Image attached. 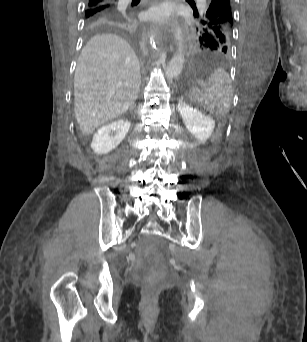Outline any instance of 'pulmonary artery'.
I'll return each instance as SVG.
<instances>
[{
  "mask_svg": "<svg viewBox=\"0 0 307 342\" xmlns=\"http://www.w3.org/2000/svg\"><path fill=\"white\" fill-rule=\"evenodd\" d=\"M122 2V10H125V8H126V3L125 2H127V1H121Z\"/></svg>",
  "mask_w": 307,
  "mask_h": 342,
  "instance_id": "pulmonary-artery-1",
  "label": "pulmonary artery"
}]
</instances>
